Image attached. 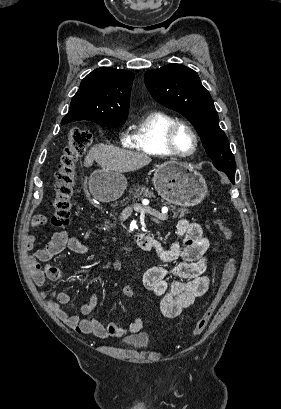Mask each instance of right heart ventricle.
<instances>
[{"mask_svg": "<svg viewBox=\"0 0 281 409\" xmlns=\"http://www.w3.org/2000/svg\"><path fill=\"white\" fill-rule=\"evenodd\" d=\"M177 121L179 119L176 116L166 111L148 112L133 126L125 145L145 157H173L167 146V134L169 128Z\"/></svg>", "mask_w": 281, "mask_h": 409, "instance_id": "1", "label": "right heart ventricle"}]
</instances>
